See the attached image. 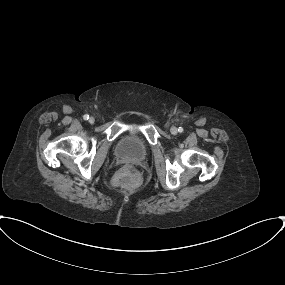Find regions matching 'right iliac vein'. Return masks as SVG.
<instances>
[{"instance_id":"63e3f726","label":"right iliac vein","mask_w":285,"mask_h":285,"mask_svg":"<svg viewBox=\"0 0 285 285\" xmlns=\"http://www.w3.org/2000/svg\"><path fill=\"white\" fill-rule=\"evenodd\" d=\"M95 122V119L93 118V117H91L90 119H89V123L90 124H93Z\"/></svg>"}]
</instances>
